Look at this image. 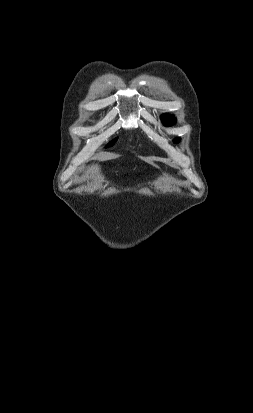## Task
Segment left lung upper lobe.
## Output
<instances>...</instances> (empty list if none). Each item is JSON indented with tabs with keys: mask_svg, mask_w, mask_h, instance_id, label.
I'll return each mask as SVG.
<instances>
[{
	"mask_svg": "<svg viewBox=\"0 0 253 413\" xmlns=\"http://www.w3.org/2000/svg\"><path fill=\"white\" fill-rule=\"evenodd\" d=\"M162 121H163V124H164V125H166V126H171V125L175 124L176 119H175V117H173V116L165 115V116H162ZM178 141H179V140L176 139V142H178Z\"/></svg>",
	"mask_w": 253,
	"mask_h": 413,
	"instance_id": "left-lung-upper-lobe-1",
	"label": "left lung upper lobe"
}]
</instances>
